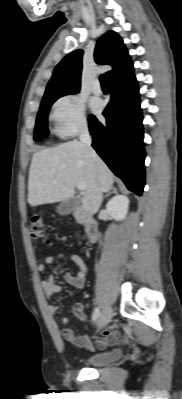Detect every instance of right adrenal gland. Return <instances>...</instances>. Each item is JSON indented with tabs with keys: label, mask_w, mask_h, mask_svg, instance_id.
<instances>
[{
	"label": "right adrenal gland",
	"mask_w": 182,
	"mask_h": 399,
	"mask_svg": "<svg viewBox=\"0 0 182 399\" xmlns=\"http://www.w3.org/2000/svg\"><path fill=\"white\" fill-rule=\"evenodd\" d=\"M110 190H111V191L105 195V198L108 197L109 195H111L112 193H115V194L118 193V192H117V189H116L115 187H111Z\"/></svg>",
	"instance_id": "right-adrenal-gland-1"
}]
</instances>
